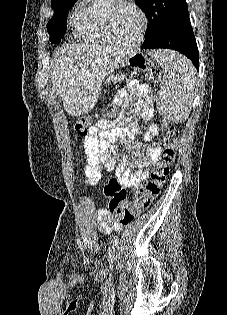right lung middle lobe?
Here are the masks:
<instances>
[{
    "label": "right lung middle lobe",
    "instance_id": "right-lung-middle-lobe-1",
    "mask_svg": "<svg viewBox=\"0 0 227 315\" xmlns=\"http://www.w3.org/2000/svg\"><path fill=\"white\" fill-rule=\"evenodd\" d=\"M76 1L77 0H55L51 2L55 14L47 24V31L52 43H60L67 29L68 10Z\"/></svg>",
    "mask_w": 227,
    "mask_h": 315
}]
</instances>
